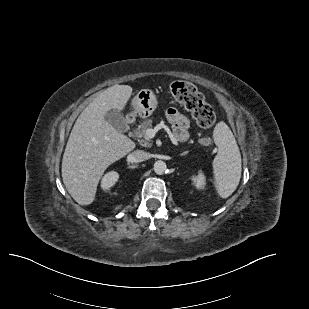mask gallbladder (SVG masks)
I'll return each instance as SVG.
<instances>
[{"label": "gallbladder", "instance_id": "gallbladder-1", "mask_svg": "<svg viewBox=\"0 0 309 309\" xmlns=\"http://www.w3.org/2000/svg\"><path fill=\"white\" fill-rule=\"evenodd\" d=\"M105 119L119 132H125L128 130V124L124 117L118 110H110L107 112Z\"/></svg>", "mask_w": 309, "mask_h": 309}]
</instances>
